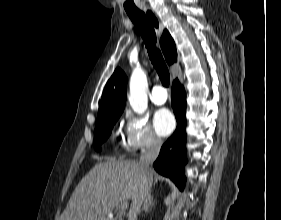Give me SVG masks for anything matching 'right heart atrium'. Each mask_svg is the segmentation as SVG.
<instances>
[{"mask_svg":"<svg viewBox=\"0 0 281 220\" xmlns=\"http://www.w3.org/2000/svg\"><path fill=\"white\" fill-rule=\"evenodd\" d=\"M124 145L131 152L156 149L161 140L155 135L146 118L127 113L124 124Z\"/></svg>","mask_w":281,"mask_h":220,"instance_id":"obj_1","label":"right heart atrium"}]
</instances>
